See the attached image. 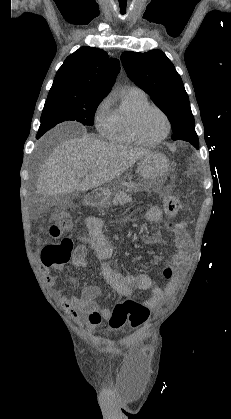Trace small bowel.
<instances>
[{
    "instance_id": "small-bowel-1",
    "label": "small bowel",
    "mask_w": 231,
    "mask_h": 419,
    "mask_svg": "<svg viewBox=\"0 0 231 419\" xmlns=\"http://www.w3.org/2000/svg\"><path fill=\"white\" fill-rule=\"evenodd\" d=\"M145 218L148 222L158 224L162 219V211L158 207H152L147 210ZM103 220L95 216H89L84 219L87 228V235L82 237V244H79L72 256V264L77 268L87 266L88 249H92L100 262V271L106 283L113 288L122 298L131 297L136 292L151 290L148 299L141 303L150 312L156 313L160 310L165 300L170 298L176 290L178 269L182 268L189 260L192 252V242L186 230L185 224L178 223L173 232L175 234L176 252L173 255L172 263L177 268L173 270L174 279L162 289L155 287L149 275L145 273H124L110 260L114 251L113 243L102 233ZM146 244H155L161 241L160 234H147L143 237ZM160 261L158 257L156 259ZM45 279L48 284L55 285L58 278L49 272V268L44 271ZM101 290L97 285H83L80 296H62L60 303L62 307L70 314L73 319L78 318V312L88 316V324L94 329L102 320H108L111 310L109 308L98 307L96 302Z\"/></svg>"
}]
</instances>
